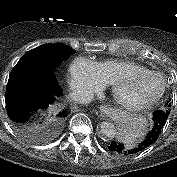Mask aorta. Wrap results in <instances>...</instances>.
<instances>
[{
	"mask_svg": "<svg viewBox=\"0 0 177 177\" xmlns=\"http://www.w3.org/2000/svg\"><path fill=\"white\" fill-rule=\"evenodd\" d=\"M100 136L103 138V139H113L115 136H116V133H117V130L115 128V126L110 123V122H103L101 125H100Z\"/></svg>",
	"mask_w": 177,
	"mask_h": 177,
	"instance_id": "762f6f07",
	"label": "aorta"
}]
</instances>
